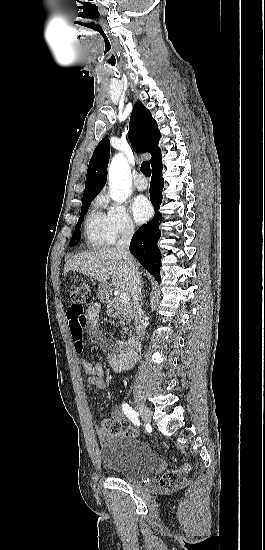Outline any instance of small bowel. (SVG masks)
I'll list each match as a JSON object with an SVG mask.
<instances>
[{
	"label": "small bowel",
	"instance_id": "small-bowel-1",
	"mask_svg": "<svg viewBox=\"0 0 265 550\" xmlns=\"http://www.w3.org/2000/svg\"><path fill=\"white\" fill-rule=\"evenodd\" d=\"M100 314V305L98 303L92 304L86 311L85 321L83 329L85 328L93 342L100 345H108L109 340L107 335L98 327V320ZM70 321V320H69ZM73 337V335H72ZM74 350L77 354H82L84 349V337L83 331L81 336L74 338ZM107 360L111 367L115 371L124 372L131 369L137 360V354L134 350H131L124 342L117 344L115 349L107 353ZM82 372L88 379V383L96 389H105L106 382L104 379V368L101 363H91L87 359H83L81 362ZM111 417L119 422L126 420L125 413L120 407H114L111 410ZM97 435L102 443H106L109 440V435L102 429H97Z\"/></svg>",
	"mask_w": 265,
	"mask_h": 550
}]
</instances>
